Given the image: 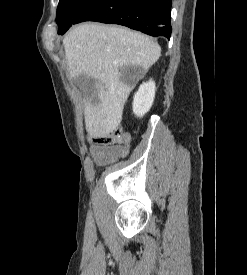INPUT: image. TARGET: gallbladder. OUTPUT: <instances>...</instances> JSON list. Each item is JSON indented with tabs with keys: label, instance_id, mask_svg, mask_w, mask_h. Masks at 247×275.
I'll return each mask as SVG.
<instances>
[{
	"label": "gallbladder",
	"instance_id": "gallbladder-1",
	"mask_svg": "<svg viewBox=\"0 0 247 275\" xmlns=\"http://www.w3.org/2000/svg\"><path fill=\"white\" fill-rule=\"evenodd\" d=\"M74 83L84 92L87 97H90L97 92V81L84 74L75 77Z\"/></svg>",
	"mask_w": 247,
	"mask_h": 275
}]
</instances>
